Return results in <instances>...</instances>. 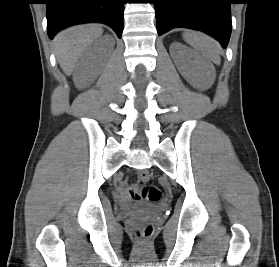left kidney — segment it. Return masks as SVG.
Masks as SVG:
<instances>
[{
    "mask_svg": "<svg viewBox=\"0 0 279 267\" xmlns=\"http://www.w3.org/2000/svg\"><path fill=\"white\" fill-rule=\"evenodd\" d=\"M172 45L179 44L173 43ZM194 58L193 67L189 66L188 59ZM174 63L180 74L194 87L202 88L208 83L207 72L204 68V62L193 52L183 48L178 56L174 59Z\"/></svg>",
    "mask_w": 279,
    "mask_h": 267,
    "instance_id": "obj_1",
    "label": "left kidney"
}]
</instances>
